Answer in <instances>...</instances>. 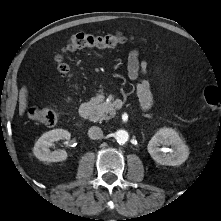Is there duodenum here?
<instances>
[{"label": "duodenum", "instance_id": "obj_1", "mask_svg": "<svg viewBox=\"0 0 221 221\" xmlns=\"http://www.w3.org/2000/svg\"><path fill=\"white\" fill-rule=\"evenodd\" d=\"M92 112V104L89 102L83 103L79 108L80 121L87 119Z\"/></svg>", "mask_w": 221, "mask_h": 221}]
</instances>
